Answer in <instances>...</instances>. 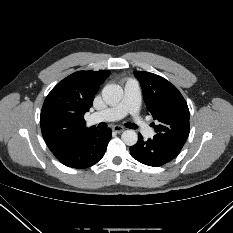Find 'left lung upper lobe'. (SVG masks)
Instances as JSON below:
<instances>
[{"label":"left lung upper lobe","mask_w":233,"mask_h":233,"mask_svg":"<svg viewBox=\"0 0 233 233\" xmlns=\"http://www.w3.org/2000/svg\"><path fill=\"white\" fill-rule=\"evenodd\" d=\"M139 80L148 111L158 123L152 126L154 140L182 149L189 132V109L177 88L165 78L149 72L134 71Z\"/></svg>","instance_id":"obj_1"}]
</instances>
